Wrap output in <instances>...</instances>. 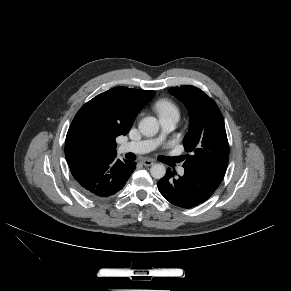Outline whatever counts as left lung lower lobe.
<instances>
[{"label": "left lung lower lobe", "instance_id": "1", "mask_svg": "<svg viewBox=\"0 0 291 291\" xmlns=\"http://www.w3.org/2000/svg\"><path fill=\"white\" fill-rule=\"evenodd\" d=\"M184 168L185 174L182 177H175L176 172L168 169L158 182V189L163 197L179 207L191 208L206 201L223 180V177L195 167Z\"/></svg>", "mask_w": 291, "mask_h": 291}]
</instances>
